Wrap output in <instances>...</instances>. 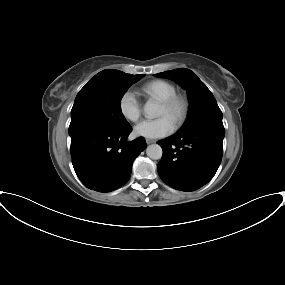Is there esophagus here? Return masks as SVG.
<instances>
[{"label":"esophagus","mask_w":285,"mask_h":285,"mask_svg":"<svg viewBox=\"0 0 285 285\" xmlns=\"http://www.w3.org/2000/svg\"><path fill=\"white\" fill-rule=\"evenodd\" d=\"M156 141L155 140H153V139H148V138H146V143L147 144H152V143H155Z\"/></svg>","instance_id":"esophagus-1"}]
</instances>
